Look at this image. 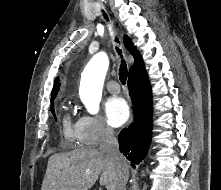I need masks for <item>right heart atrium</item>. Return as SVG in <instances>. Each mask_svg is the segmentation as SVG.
<instances>
[{"label": "right heart atrium", "mask_w": 221, "mask_h": 190, "mask_svg": "<svg viewBox=\"0 0 221 190\" xmlns=\"http://www.w3.org/2000/svg\"><path fill=\"white\" fill-rule=\"evenodd\" d=\"M79 141L87 147H96L113 137L112 129L98 115L83 114L77 120Z\"/></svg>", "instance_id": "1"}]
</instances>
